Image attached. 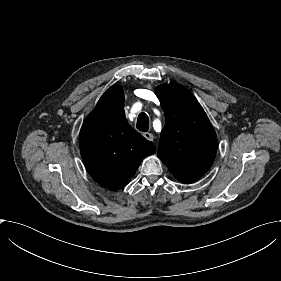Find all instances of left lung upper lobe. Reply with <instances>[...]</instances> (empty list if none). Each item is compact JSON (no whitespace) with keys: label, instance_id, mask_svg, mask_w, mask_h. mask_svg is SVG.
Returning <instances> with one entry per match:
<instances>
[{"label":"left lung upper lobe","instance_id":"left-lung-upper-lobe-1","mask_svg":"<svg viewBox=\"0 0 281 281\" xmlns=\"http://www.w3.org/2000/svg\"><path fill=\"white\" fill-rule=\"evenodd\" d=\"M165 112L158 156L173 174L199 176L216 156L218 142L209 119L196 98L177 84L156 89Z\"/></svg>","mask_w":281,"mask_h":281}]
</instances>
